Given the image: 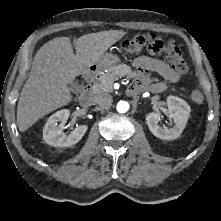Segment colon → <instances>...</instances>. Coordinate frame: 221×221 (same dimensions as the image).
<instances>
[{"label":"colon","mask_w":221,"mask_h":221,"mask_svg":"<svg viewBox=\"0 0 221 221\" xmlns=\"http://www.w3.org/2000/svg\"><path fill=\"white\" fill-rule=\"evenodd\" d=\"M123 50L130 55H138L144 50L164 52L173 70L182 74L188 70L182 51L174 40L165 41L162 37L153 34H138L122 43ZM189 96L192 102L201 104L204 100L202 91L198 86L193 87Z\"/></svg>","instance_id":"obj_1"}]
</instances>
